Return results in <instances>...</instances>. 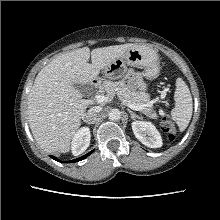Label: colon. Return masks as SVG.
Masks as SVG:
<instances>
[{
  "label": "colon",
  "mask_w": 220,
  "mask_h": 220,
  "mask_svg": "<svg viewBox=\"0 0 220 220\" xmlns=\"http://www.w3.org/2000/svg\"><path fill=\"white\" fill-rule=\"evenodd\" d=\"M162 128L164 132L167 134V138L169 141H173L175 139L176 131L173 122L168 116H165L162 120Z\"/></svg>",
  "instance_id": "1"
}]
</instances>
